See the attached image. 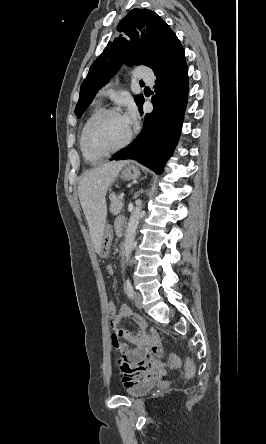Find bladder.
<instances>
[{"instance_id": "bladder-1", "label": "bladder", "mask_w": 266, "mask_h": 444, "mask_svg": "<svg viewBox=\"0 0 266 444\" xmlns=\"http://www.w3.org/2000/svg\"><path fill=\"white\" fill-rule=\"evenodd\" d=\"M154 387L155 386L153 384L136 385L128 388L126 390V394L132 398H140L150 393L154 389Z\"/></svg>"}]
</instances>
